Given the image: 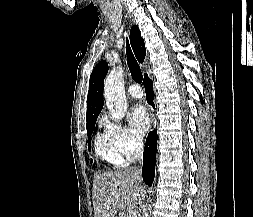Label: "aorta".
I'll return each instance as SVG.
<instances>
[{
    "label": "aorta",
    "instance_id": "aorta-1",
    "mask_svg": "<svg viewBox=\"0 0 253 217\" xmlns=\"http://www.w3.org/2000/svg\"><path fill=\"white\" fill-rule=\"evenodd\" d=\"M104 97L111 118L120 121L127 112V101L124 91L123 71L114 68L105 79Z\"/></svg>",
    "mask_w": 253,
    "mask_h": 217
}]
</instances>
